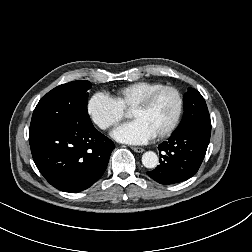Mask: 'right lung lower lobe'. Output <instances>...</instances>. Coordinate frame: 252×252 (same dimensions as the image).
<instances>
[{
    "mask_svg": "<svg viewBox=\"0 0 252 252\" xmlns=\"http://www.w3.org/2000/svg\"><path fill=\"white\" fill-rule=\"evenodd\" d=\"M33 160L55 188L76 193L92 186L106 170L113 142L93 125L75 122L29 129Z\"/></svg>",
    "mask_w": 252,
    "mask_h": 252,
    "instance_id": "98d812e1",
    "label": "right lung lower lobe"
}]
</instances>
